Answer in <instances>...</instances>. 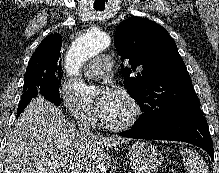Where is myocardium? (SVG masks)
<instances>
[{
  "label": "myocardium",
  "instance_id": "obj_1",
  "mask_svg": "<svg viewBox=\"0 0 219 173\" xmlns=\"http://www.w3.org/2000/svg\"><path fill=\"white\" fill-rule=\"evenodd\" d=\"M119 95L130 105L131 114L130 116L122 122L111 123L103 122V125L111 131H126L133 128L142 116V107L139 101L127 90L121 89Z\"/></svg>",
  "mask_w": 219,
  "mask_h": 173
}]
</instances>
